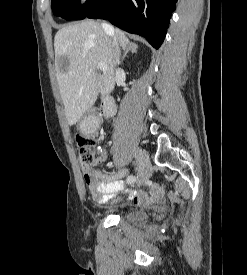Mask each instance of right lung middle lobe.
<instances>
[{
    "label": "right lung middle lobe",
    "mask_w": 247,
    "mask_h": 275,
    "mask_svg": "<svg viewBox=\"0 0 247 275\" xmlns=\"http://www.w3.org/2000/svg\"><path fill=\"white\" fill-rule=\"evenodd\" d=\"M105 0H87L81 5L80 0H52L54 15L67 20H82Z\"/></svg>",
    "instance_id": "right-lung-middle-lobe-1"
}]
</instances>
